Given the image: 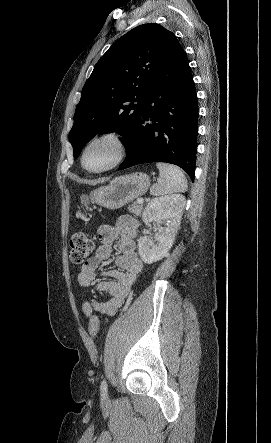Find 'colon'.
I'll use <instances>...</instances> for the list:
<instances>
[{
  "instance_id": "obj_1",
  "label": "colon",
  "mask_w": 271,
  "mask_h": 443,
  "mask_svg": "<svg viewBox=\"0 0 271 443\" xmlns=\"http://www.w3.org/2000/svg\"><path fill=\"white\" fill-rule=\"evenodd\" d=\"M93 239L83 233H75L70 238V260L75 265L83 264L94 251ZM89 332L96 337L99 333L98 317L93 315L89 318Z\"/></svg>"
}]
</instances>
